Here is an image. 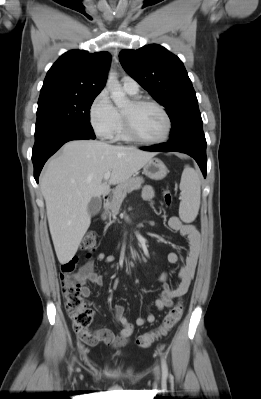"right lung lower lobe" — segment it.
Segmentation results:
<instances>
[{
  "label": "right lung lower lobe",
  "mask_w": 261,
  "mask_h": 399,
  "mask_svg": "<svg viewBox=\"0 0 261 399\" xmlns=\"http://www.w3.org/2000/svg\"><path fill=\"white\" fill-rule=\"evenodd\" d=\"M95 138L93 131H85L66 124L50 126L35 132V144L32 151L35 180L38 182L39 174L45 162L63 144L71 140Z\"/></svg>",
  "instance_id": "obj_1"
}]
</instances>
